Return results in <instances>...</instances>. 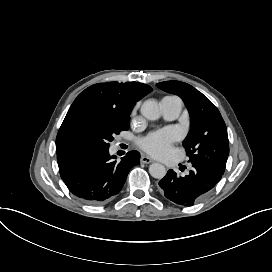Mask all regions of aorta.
Returning <instances> with one entry per match:
<instances>
[{
  "instance_id": "762f6f07",
  "label": "aorta",
  "mask_w": 272,
  "mask_h": 272,
  "mask_svg": "<svg viewBox=\"0 0 272 272\" xmlns=\"http://www.w3.org/2000/svg\"><path fill=\"white\" fill-rule=\"evenodd\" d=\"M140 113L149 120H156L160 117L158 102L154 99L144 101ZM149 173L153 178L162 179L166 175L165 166L161 163H152L149 166Z\"/></svg>"
}]
</instances>
